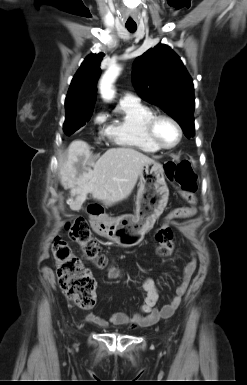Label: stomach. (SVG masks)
<instances>
[{"label":"stomach","mask_w":247,"mask_h":385,"mask_svg":"<svg viewBox=\"0 0 247 385\" xmlns=\"http://www.w3.org/2000/svg\"><path fill=\"white\" fill-rule=\"evenodd\" d=\"M168 197L163 166L154 160L146 163L139 175L135 215L108 219L101 234L122 247L138 245L162 214Z\"/></svg>","instance_id":"0dacf381"}]
</instances>
